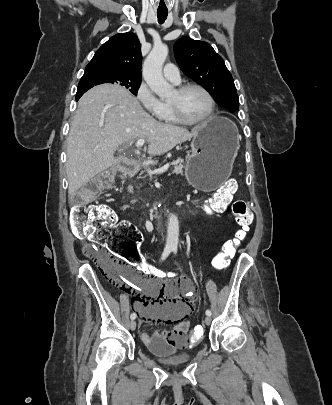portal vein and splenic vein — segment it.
Returning a JSON list of instances; mask_svg holds the SVG:
<instances>
[{"label": "portal vein and splenic vein", "mask_w": 332, "mask_h": 405, "mask_svg": "<svg viewBox=\"0 0 332 405\" xmlns=\"http://www.w3.org/2000/svg\"><path fill=\"white\" fill-rule=\"evenodd\" d=\"M144 143H145V140L144 139H142V138H140V139H138L136 142H135V146L136 147H142L143 145H144ZM166 169H167V167H162V168H159V169H157V170H154V171H150V170H148V174L149 175H152V174H161V173H163V172H165L166 171Z\"/></svg>", "instance_id": "portal-vein-and-splenic-vein-1"}]
</instances>
